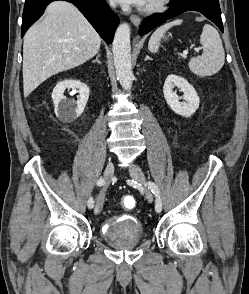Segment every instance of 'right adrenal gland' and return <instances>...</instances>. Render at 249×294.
I'll return each instance as SVG.
<instances>
[{
  "label": "right adrenal gland",
  "instance_id": "right-adrenal-gland-1",
  "mask_svg": "<svg viewBox=\"0 0 249 294\" xmlns=\"http://www.w3.org/2000/svg\"><path fill=\"white\" fill-rule=\"evenodd\" d=\"M99 57H100V54H98V55L96 56V59L93 60L92 63L97 62L98 64H101V62L99 61Z\"/></svg>",
  "mask_w": 249,
  "mask_h": 294
}]
</instances>
